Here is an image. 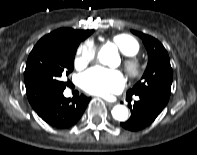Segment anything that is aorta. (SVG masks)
Masks as SVG:
<instances>
[{
	"mask_svg": "<svg viewBox=\"0 0 197 155\" xmlns=\"http://www.w3.org/2000/svg\"><path fill=\"white\" fill-rule=\"evenodd\" d=\"M116 55V49L113 46H103L99 53L98 58L102 64L109 65L111 59ZM112 116L115 120L125 121L128 118V109L124 105H116L112 109Z\"/></svg>",
	"mask_w": 197,
	"mask_h": 155,
	"instance_id": "obj_1",
	"label": "aorta"
}]
</instances>
